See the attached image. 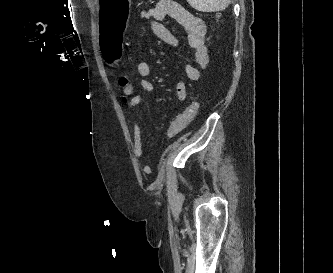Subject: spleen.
I'll use <instances>...</instances> for the list:
<instances>
[{
	"label": "spleen",
	"mask_w": 333,
	"mask_h": 273,
	"mask_svg": "<svg viewBox=\"0 0 333 273\" xmlns=\"http://www.w3.org/2000/svg\"><path fill=\"white\" fill-rule=\"evenodd\" d=\"M188 3L198 11L217 12L228 7L231 0H187Z\"/></svg>",
	"instance_id": "1"
}]
</instances>
